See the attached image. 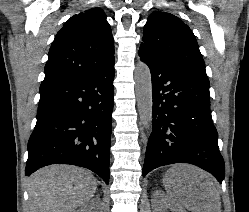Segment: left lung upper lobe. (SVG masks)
Wrapping results in <instances>:
<instances>
[{"mask_svg":"<svg viewBox=\"0 0 249 212\" xmlns=\"http://www.w3.org/2000/svg\"><path fill=\"white\" fill-rule=\"evenodd\" d=\"M139 55L171 63L207 77L205 64L191 29L178 17L155 11L144 27Z\"/></svg>","mask_w":249,"mask_h":212,"instance_id":"1","label":"left lung upper lobe"}]
</instances>
